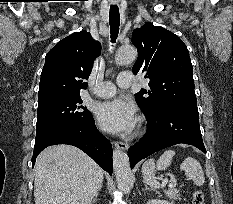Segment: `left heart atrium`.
I'll return each instance as SVG.
<instances>
[{"instance_id": "39dd6f15", "label": "left heart atrium", "mask_w": 233, "mask_h": 204, "mask_svg": "<svg viewBox=\"0 0 233 204\" xmlns=\"http://www.w3.org/2000/svg\"><path fill=\"white\" fill-rule=\"evenodd\" d=\"M96 117L103 130L115 134H126L135 125L136 110L130 102L113 99L98 105Z\"/></svg>"}]
</instances>
